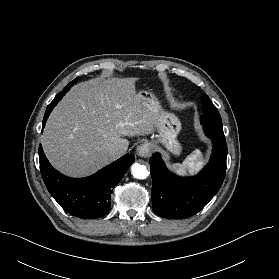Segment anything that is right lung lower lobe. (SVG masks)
<instances>
[{"instance_id": "obj_1", "label": "right lung lower lobe", "mask_w": 279, "mask_h": 279, "mask_svg": "<svg viewBox=\"0 0 279 279\" xmlns=\"http://www.w3.org/2000/svg\"><path fill=\"white\" fill-rule=\"evenodd\" d=\"M71 87H65L48 105L43 127L52 109ZM38 154L41 175L48 191L66 212L81 219L99 218L111 210L112 190L135 160L133 155L126 154L90 177L74 179L62 175L50 165L41 145Z\"/></svg>"}]
</instances>
